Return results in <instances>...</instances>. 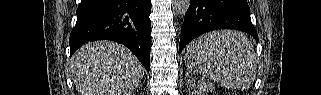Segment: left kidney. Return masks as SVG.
Returning a JSON list of instances; mask_svg holds the SVG:
<instances>
[{
	"mask_svg": "<svg viewBox=\"0 0 321 95\" xmlns=\"http://www.w3.org/2000/svg\"><path fill=\"white\" fill-rule=\"evenodd\" d=\"M210 89H211L210 87H207V88L202 87V88H199V89L196 91V93H197V95H205V93H206L207 91H209Z\"/></svg>",
	"mask_w": 321,
	"mask_h": 95,
	"instance_id": "obj_1",
	"label": "left kidney"
}]
</instances>
